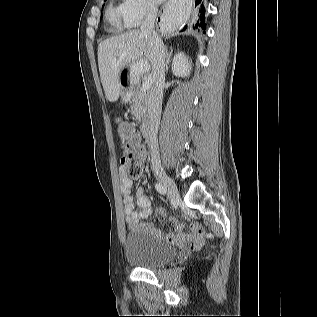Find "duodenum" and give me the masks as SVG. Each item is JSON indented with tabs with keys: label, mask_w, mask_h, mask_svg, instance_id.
Returning a JSON list of instances; mask_svg holds the SVG:
<instances>
[{
	"label": "duodenum",
	"mask_w": 317,
	"mask_h": 317,
	"mask_svg": "<svg viewBox=\"0 0 317 317\" xmlns=\"http://www.w3.org/2000/svg\"><path fill=\"white\" fill-rule=\"evenodd\" d=\"M142 134L146 142H151L153 137V129L148 122L143 124Z\"/></svg>",
	"instance_id": "1"
}]
</instances>
